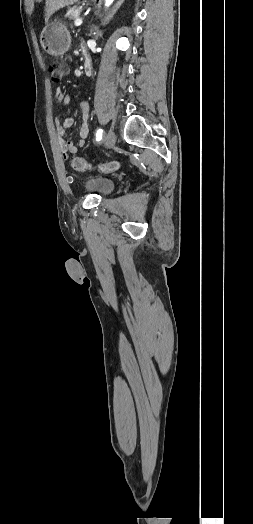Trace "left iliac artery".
Here are the masks:
<instances>
[{
  "label": "left iliac artery",
  "instance_id": "left-iliac-artery-1",
  "mask_svg": "<svg viewBox=\"0 0 253 524\" xmlns=\"http://www.w3.org/2000/svg\"><path fill=\"white\" fill-rule=\"evenodd\" d=\"M102 133H103L102 129H98L97 130V133H96V140L97 141H100L102 139Z\"/></svg>",
  "mask_w": 253,
  "mask_h": 524
}]
</instances>
